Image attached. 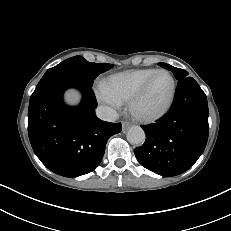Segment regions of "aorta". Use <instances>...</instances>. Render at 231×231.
Masks as SVG:
<instances>
[{
	"mask_svg": "<svg viewBox=\"0 0 231 231\" xmlns=\"http://www.w3.org/2000/svg\"><path fill=\"white\" fill-rule=\"evenodd\" d=\"M127 140L135 145L142 144L145 141V133L139 126H132L127 132Z\"/></svg>",
	"mask_w": 231,
	"mask_h": 231,
	"instance_id": "obj_1",
	"label": "aorta"
}]
</instances>
